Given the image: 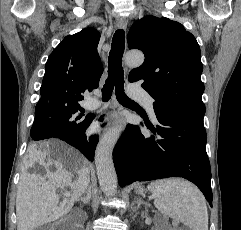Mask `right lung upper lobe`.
<instances>
[{
	"label": "right lung upper lobe",
	"mask_w": 241,
	"mask_h": 230,
	"mask_svg": "<svg viewBox=\"0 0 241 230\" xmlns=\"http://www.w3.org/2000/svg\"><path fill=\"white\" fill-rule=\"evenodd\" d=\"M100 34L93 28L69 35L50 54L35 112L73 107L84 92L98 87L102 63L97 53Z\"/></svg>",
	"instance_id": "cb5924a9"
}]
</instances>
